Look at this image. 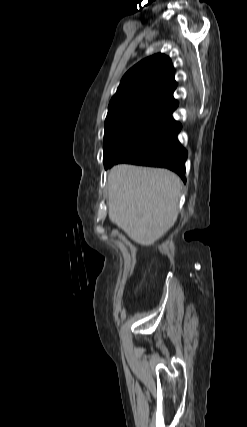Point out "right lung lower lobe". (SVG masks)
Masks as SVG:
<instances>
[{"instance_id": "1", "label": "right lung lower lobe", "mask_w": 247, "mask_h": 427, "mask_svg": "<svg viewBox=\"0 0 247 427\" xmlns=\"http://www.w3.org/2000/svg\"><path fill=\"white\" fill-rule=\"evenodd\" d=\"M177 106L172 100L151 112L123 140L105 168L124 162L166 167L185 181L187 151L177 139L181 124L172 118Z\"/></svg>"}]
</instances>
